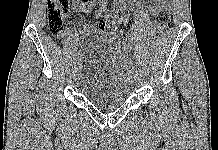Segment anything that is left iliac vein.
<instances>
[{
	"label": "left iliac vein",
	"mask_w": 218,
	"mask_h": 150,
	"mask_svg": "<svg viewBox=\"0 0 218 150\" xmlns=\"http://www.w3.org/2000/svg\"><path fill=\"white\" fill-rule=\"evenodd\" d=\"M137 77H138V74H137V73H134L133 76L131 77V80H132V81H135Z\"/></svg>",
	"instance_id": "4c4485c4"
}]
</instances>
